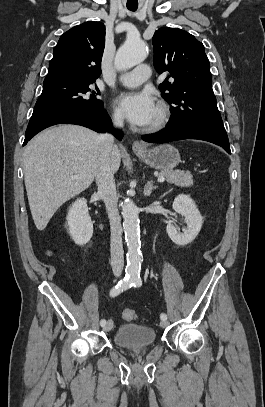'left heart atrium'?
Masks as SVG:
<instances>
[{"instance_id":"obj_1","label":"left heart atrium","mask_w":265,"mask_h":407,"mask_svg":"<svg viewBox=\"0 0 265 407\" xmlns=\"http://www.w3.org/2000/svg\"><path fill=\"white\" fill-rule=\"evenodd\" d=\"M117 104L126 118L137 126H146L156 110L154 98L146 91L122 94Z\"/></svg>"}]
</instances>
